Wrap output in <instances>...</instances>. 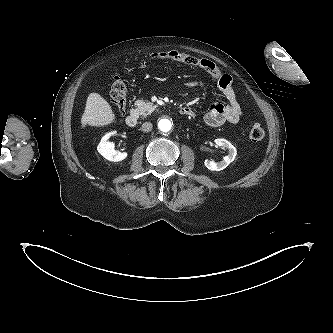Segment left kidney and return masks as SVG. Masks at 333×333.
Masks as SVG:
<instances>
[{
    "instance_id": "left-kidney-1",
    "label": "left kidney",
    "mask_w": 333,
    "mask_h": 333,
    "mask_svg": "<svg viewBox=\"0 0 333 333\" xmlns=\"http://www.w3.org/2000/svg\"><path fill=\"white\" fill-rule=\"evenodd\" d=\"M215 144L227 150L228 154L225 157H223L222 161L220 162H214L213 160L206 159L204 164L211 171H221L225 169L231 162L234 161L237 154V150L226 139H215Z\"/></svg>"
}]
</instances>
